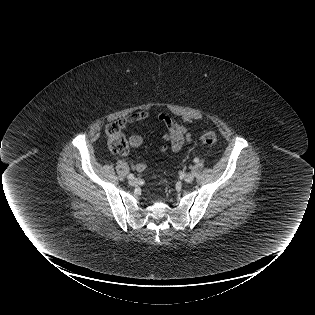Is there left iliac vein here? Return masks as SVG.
<instances>
[{
  "label": "left iliac vein",
  "instance_id": "obj_1",
  "mask_svg": "<svg viewBox=\"0 0 315 315\" xmlns=\"http://www.w3.org/2000/svg\"><path fill=\"white\" fill-rule=\"evenodd\" d=\"M183 180L186 183H191L194 180V175L191 173H188V174L184 175Z\"/></svg>",
  "mask_w": 315,
  "mask_h": 315
}]
</instances>
